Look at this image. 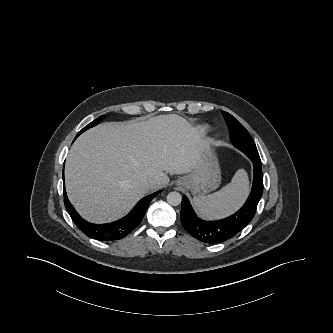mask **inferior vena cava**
Segmentation results:
<instances>
[{
	"label": "inferior vena cava",
	"instance_id": "inferior-vena-cava-1",
	"mask_svg": "<svg viewBox=\"0 0 333 333\" xmlns=\"http://www.w3.org/2000/svg\"><path fill=\"white\" fill-rule=\"evenodd\" d=\"M149 184H150V185H154V184H156V180L150 179V180H149Z\"/></svg>",
	"mask_w": 333,
	"mask_h": 333
}]
</instances>
